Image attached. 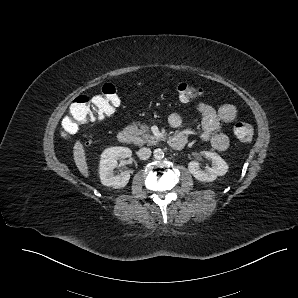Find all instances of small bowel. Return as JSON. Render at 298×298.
<instances>
[{"instance_id":"1","label":"small bowel","mask_w":298,"mask_h":298,"mask_svg":"<svg viewBox=\"0 0 298 298\" xmlns=\"http://www.w3.org/2000/svg\"><path fill=\"white\" fill-rule=\"evenodd\" d=\"M196 109L202 116V140L209 141L215 150H227L230 140L220 129L223 123L232 122L236 118V107L231 104H224L216 109L209 104L201 103ZM168 123L172 127H179L182 124L181 115L176 112L171 113L168 117Z\"/></svg>"}]
</instances>
